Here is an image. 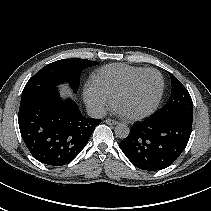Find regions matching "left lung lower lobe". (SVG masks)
Returning <instances> with one entry per match:
<instances>
[{
	"mask_svg": "<svg viewBox=\"0 0 211 211\" xmlns=\"http://www.w3.org/2000/svg\"><path fill=\"white\" fill-rule=\"evenodd\" d=\"M191 130L192 121L183 118H149L134 124L119 146L135 167L157 171L167 168L180 156Z\"/></svg>",
	"mask_w": 211,
	"mask_h": 211,
	"instance_id": "0a47b994",
	"label": "left lung lower lobe"
}]
</instances>
